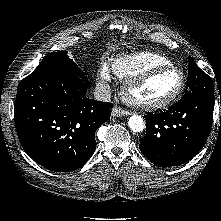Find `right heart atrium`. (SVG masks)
Masks as SVG:
<instances>
[{
  "instance_id": "obj_1",
  "label": "right heart atrium",
  "mask_w": 221,
  "mask_h": 221,
  "mask_svg": "<svg viewBox=\"0 0 221 221\" xmlns=\"http://www.w3.org/2000/svg\"><path fill=\"white\" fill-rule=\"evenodd\" d=\"M98 82L104 86L111 80V72L107 63H102L97 72Z\"/></svg>"
}]
</instances>
